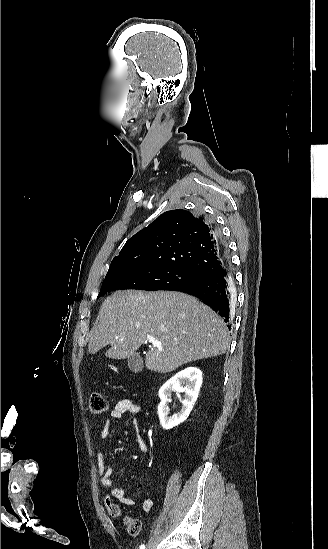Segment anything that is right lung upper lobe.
<instances>
[{"instance_id":"right-lung-upper-lobe-1","label":"right lung upper lobe","mask_w":328,"mask_h":549,"mask_svg":"<svg viewBox=\"0 0 328 549\" xmlns=\"http://www.w3.org/2000/svg\"><path fill=\"white\" fill-rule=\"evenodd\" d=\"M215 227L182 209L160 215L125 243L108 272L130 263H147L191 269L210 275L226 261Z\"/></svg>"}]
</instances>
